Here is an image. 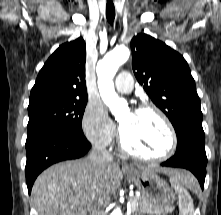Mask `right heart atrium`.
Wrapping results in <instances>:
<instances>
[{
  "label": "right heart atrium",
  "instance_id": "obj_1",
  "mask_svg": "<svg viewBox=\"0 0 221 215\" xmlns=\"http://www.w3.org/2000/svg\"><path fill=\"white\" fill-rule=\"evenodd\" d=\"M82 130L86 138L93 144L107 146L116 137V128L107 116L102 105L90 102L82 118Z\"/></svg>",
  "mask_w": 221,
  "mask_h": 215
}]
</instances>
